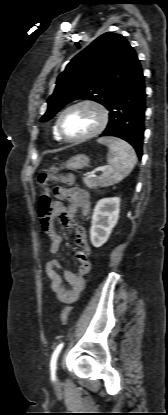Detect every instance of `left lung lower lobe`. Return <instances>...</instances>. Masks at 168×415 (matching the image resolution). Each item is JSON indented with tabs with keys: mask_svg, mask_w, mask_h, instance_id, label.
<instances>
[{
	"mask_svg": "<svg viewBox=\"0 0 168 415\" xmlns=\"http://www.w3.org/2000/svg\"><path fill=\"white\" fill-rule=\"evenodd\" d=\"M145 85L140 63L116 92L107 109L109 122L101 136H115L130 143L139 159L142 145L145 117Z\"/></svg>",
	"mask_w": 168,
	"mask_h": 415,
	"instance_id": "0a47b994",
	"label": "left lung lower lobe"
}]
</instances>
